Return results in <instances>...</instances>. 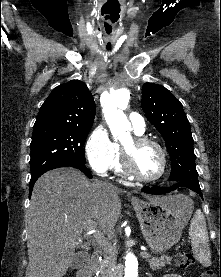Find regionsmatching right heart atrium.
Listing matches in <instances>:
<instances>
[{
  "label": "right heart atrium",
  "instance_id": "right-heart-atrium-1",
  "mask_svg": "<svg viewBox=\"0 0 221 277\" xmlns=\"http://www.w3.org/2000/svg\"><path fill=\"white\" fill-rule=\"evenodd\" d=\"M85 154L89 166L97 175L105 176L112 168L115 143L104 126L93 129L85 144Z\"/></svg>",
  "mask_w": 221,
  "mask_h": 277
}]
</instances>
